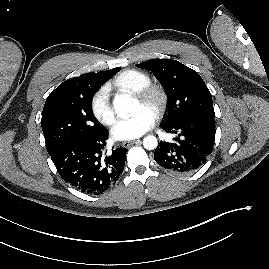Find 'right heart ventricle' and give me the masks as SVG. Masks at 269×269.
I'll list each match as a JSON object with an SVG mask.
<instances>
[{
    "label": "right heart ventricle",
    "mask_w": 269,
    "mask_h": 269,
    "mask_svg": "<svg viewBox=\"0 0 269 269\" xmlns=\"http://www.w3.org/2000/svg\"><path fill=\"white\" fill-rule=\"evenodd\" d=\"M150 83L147 73L137 69H126L112 80L111 85L120 92L136 94Z\"/></svg>",
    "instance_id": "obj_1"
}]
</instances>
